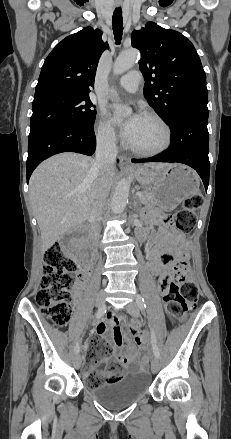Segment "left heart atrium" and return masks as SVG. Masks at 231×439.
Segmentation results:
<instances>
[{
	"label": "left heart atrium",
	"mask_w": 231,
	"mask_h": 439,
	"mask_svg": "<svg viewBox=\"0 0 231 439\" xmlns=\"http://www.w3.org/2000/svg\"><path fill=\"white\" fill-rule=\"evenodd\" d=\"M142 118L143 116L141 114L135 113L125 122L120 124L122 136L128 144H130L134 139L135 134L141 124ZM114 120L117 121L116 118Z\"/></svg>",
	"instance_id": "obj_1"
}]
</instances>
